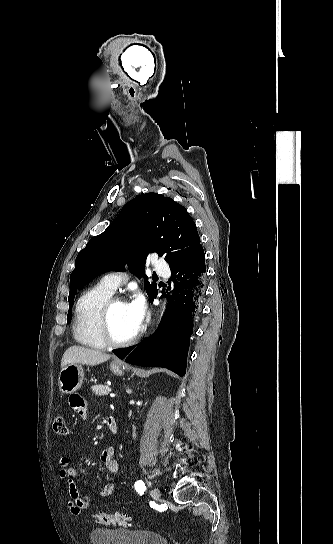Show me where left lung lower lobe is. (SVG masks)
<instances>
[{
	"label": "left lung lower lobe",
	"mask_w": 333,
	"mask_h": 544,
	"mask_svg": "<svg viewBox=\"0 0 333 544\" xmlns=\"http://www.w3.org/2000/svg\"><path fill=\"white\" fill-rule=\"evenodd\" d=\"M205 272V253L200 245L186 261L171 268L174 290L155 333L137 346L114 350L116 356L130 364L160 366L184 376L193 322L203 299ZM156 296L150 298L151 303Z\"/></svg>",
	"instance_id": "1"
}]
</instances>
